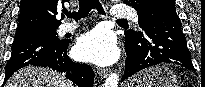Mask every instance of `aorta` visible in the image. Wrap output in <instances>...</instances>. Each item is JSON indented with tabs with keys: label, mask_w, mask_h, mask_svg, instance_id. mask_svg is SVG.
I'll return each instance as SVG.
<instances>
[{
	"label": "aorta",
	"mask_w": 205,
	"mask_h": 87,
	"mask_svg": "<svg viewBox=\"0 0 205 87\" xmlns=\"http://www.w3.org/2000/svg\"><path fill=\"white\" fill-rule=\"evenodd\" d=\"M119 75L116 72L111 73L106 79L103 87H118Z\"/></svg>",
	"instance_id": "aorta-1"
}]
</instances>
